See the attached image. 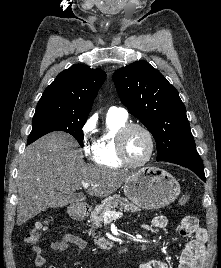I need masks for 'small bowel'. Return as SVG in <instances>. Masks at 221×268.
I'll use <instances>...</instances> for the list:
<instances>
[{
  "label": "small bowel",
  "instance_id": "c3829d8e",
  "mask_svg": "<svg viewBox=\"0 0 221 268\" xmlns=\"http://www.w3.org/2000/svg\"><path fill=\"white\" fill-rule=\"evenodd\" d=\"M169 225V219L166 216L159 215L152 219L149 224L142 226L145 230L164 229ZM178 230L181 236L189 238L180 257L178 268H202L206 255L207 233L199 226L198 220L194 216H185L178 223ZM70 245L75 246L78 251L86 248L87 243L79 236L66 234L60 240L50 243V248L54 251H65ZM35 253L34 265L36 268H58L49 265L43 255L44 248L41 245L33 247ZM137 268H170L163 261H149L142 263Z\"/></svg>",
  "mask_w": 221,
  "mask_h": 268
}]
</instances>
